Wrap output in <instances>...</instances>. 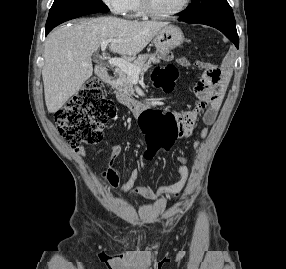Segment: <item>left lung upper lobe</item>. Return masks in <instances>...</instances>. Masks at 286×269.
<instances>
[{
    "mask_svg": "<svg viewBox=\"0 0 286 269\" xmlns=\"http://www.w3.org/2000/svg\"><path fill=\"white\" fill-rule=\"evenodd\" d=\"M182 13L180 19L187 22L221 21L236 24L227 0H192L191 6Z\"/></svg>",
    "mask_w": 286,
    "mask_h": 269,
    "instance_id": "left-lung-upper-lobe-1",
    "label": "left lung upper lobe"
}]
</instances>
